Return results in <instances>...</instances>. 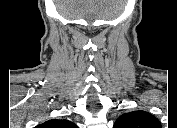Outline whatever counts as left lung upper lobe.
Instances as JSON below:
<instances>
[{"instance_id":"5c2ea615","label":"left lung upper lobe","mask_w":177,"mask_h":128,"mask_svg":"<svg viewBox=\"0 0 177 128\" xmlns=\"http://www.w3.org/2000/svg\"><path fill=\"white\" fill-rule=\"evenodd\" d=\"M160 122L146 111H132L122 114L115 122L114 128H159Z\"/></svg>"}]
</instances>
